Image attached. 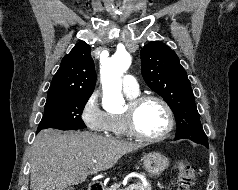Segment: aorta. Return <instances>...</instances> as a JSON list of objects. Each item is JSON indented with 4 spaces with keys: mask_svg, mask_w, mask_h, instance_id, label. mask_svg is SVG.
Listing matches in <instances>:
<instances>
[{
    "mask_svg": "<svg viewBox=\"0 0 238 190\" xmlns=\"http://www.w3.org/2000/svg\"><path fill=\"white\" fill-rule=\"evenodd\" d=\"M131 65V56L126 51H118L108 58L101 67L103 87V107L107 111L119 108L122 104L121 76Z\"/></svg>",
    "mask_w": 238,
    "mask_h": 190,
    "instance_id": "762f6f07",
    "label": "aorta"
}]
</instances>
